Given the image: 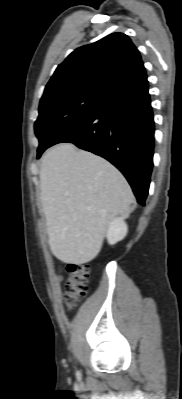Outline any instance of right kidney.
<instances>
[{
	"instance_id": "ca27d5eb",
	"label": "right kidney",
	"mask_w": 182,
	"mask_h": 399,
	"mask_svg": "<svg viewBox=\"0 0 182 399\" xmlns=\"http://www.w3.org/2000/svg\"><path fill=\"white\" fill-rule=\"evenodd\" d=\"M128 227L122 217L113 219L108 226L107 240L113 245L121 241L127 234Z\"/></svg>"
}]
</instances>
